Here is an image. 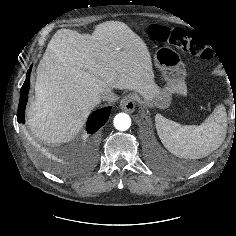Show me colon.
Wrapping results in <instances>:
<instances>
[{"label":"colon","mask_w":236,"mask_h":236,"mask_svg":"<svg viewBox=\"0 0 236 236\" xmlns=\"http://www.w3.org/2000/svg\"><path fill=\"white\" fill-rule=\"evenodd\" d=\"M147 34L154 40L187 51L204 61H210L213 54L209 46L194 33L176 27L152 24Z\"/></svg>","instance_id":"1"}]
</instances>
